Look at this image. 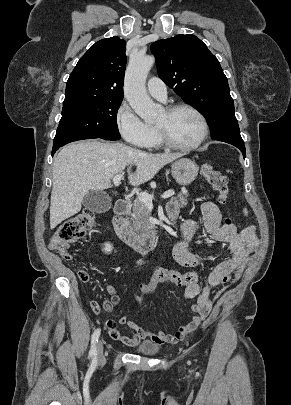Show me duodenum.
Masks as SVG:
<instances>
[{
	"label": "duodenum",
	"mask_w": 291,
	"mask_h": 405,
	"mask_svg": "<svg viewBox=\"0 0 291 405\" xmlns=\"http://www.w3.org/2000/svg\"><path fill=\"white\" fill-rule=\"evenodd\" d=\"M131 210V204L127 200H118L115 205L113 224L117 235L126 245L137 252L147 253L151 251L158 239L157 231H149L138 234L132 231L127 218Z\"/></svg>",
	"instance_id": "duodenum-1"
}]
</instances>
